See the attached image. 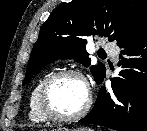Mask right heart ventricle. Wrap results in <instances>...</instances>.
Wrapping results in <instances>:
<instances>
[{"label": "right heart ventricle", "instance_id": "obj_1", "mask_svg": "<svg viewBox=\"0 0 147 131\" xmlns=\"http://www.w3.org/2000/svg\"><path fill=\"white\" fill-rule=\"evenodd\" d=\"M54 72H48L45 75H43L33 86L30 96H29V101H28V117L29 119L34 122V123H46L49 121L47 117L43 115L41 112L38 101H37V95L39 88L43 81L50 76Z\"/></svg>", "mask_w": 147, "mask_h": 131}]
</instances>
